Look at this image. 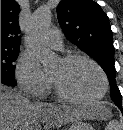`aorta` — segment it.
I'll return each instance as SVG.
<instances>
[{
    "label": "aorta",
    "instance_id": "762f6f07",
    "mask_svg": "<svg viewBox=\"0 0 123 130\" xmlns=\"http://www.w3.org/2000/svg\"><path fill=\"white\" fill-rule=\"evenodd\" d=\"M51 18L52 13L49 8H38L33 13L26 35L27 47L33 52L43 66H49L54 60V54L46 43V33L51 25Z\"/></svg>",
    "mask_w": 123,
    "mask_h": 130
}]
</instances>
